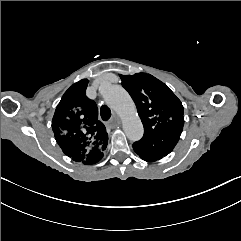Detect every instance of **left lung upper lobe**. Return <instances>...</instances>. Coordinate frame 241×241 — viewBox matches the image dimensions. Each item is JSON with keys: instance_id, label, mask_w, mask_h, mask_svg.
Here are the masks:
<instances>
[{"instance_id": "5c2ea615", "label": "left lung upper lobe", "mask_w": 241, "mask_h": 241, "mask_svg": "<svg viewBox=\"0 0 241 241\" xmlns=\"http://www.w3.org/2000/svg\"><path fill=\"white\" fill-rule=\"evenodd\" d=\"M122 86L134 100L144 126L141 140L155 141L166 132H182L183 106L170 88L146 73L120 75Z\"/></svg>"}]
</instances>
